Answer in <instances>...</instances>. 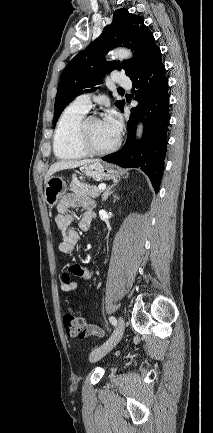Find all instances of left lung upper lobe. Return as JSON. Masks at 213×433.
<instances>
[{
    "instance_id": "1",
    "label": "left lung upper lobe",
    "mask_w": 213,
    "mask_h": 433,
    "mask_svg": "<svg viewBox=\"0 0 213 433\" xmlns=\"http://www.w3.org/2000/svg\"><path fill=\"white\" fill-rule=\"evenodd\" d=\"M118 46L133 50L134 58L122 62L106 61L105 54ZM155 48L157 45L153 34L141 17L126 9L116 10L112 23L85 50L78 53L62 72L54 105L53 127L64 108L75 97L97 89L95 86L102 83L105 73L124 70L131 77ZM124 104V100L116 102L120 110Z\"/></svg>"
}]
</instances>
